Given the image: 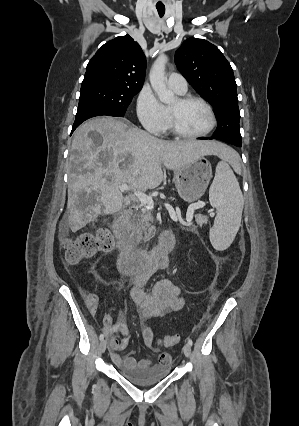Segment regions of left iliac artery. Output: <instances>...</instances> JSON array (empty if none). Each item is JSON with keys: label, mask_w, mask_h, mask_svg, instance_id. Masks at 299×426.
Listing matches in <instances>:
<instances>
[{"label": "left iliac artery", "mask_w": 299, "mask_h": 426, "mask_svg": "<svg viewBox=\"0 0 299 426\" xmlns=\"http://www.w3.org/2000/svg\"><path fill=\"white\" fill-rule=\"evenodd\" d=\"M187 342H188V344H189L190 346H192V344H193L192 339L188 338V339H187Z\"/></svg>", "instance_id": "1"}]
</instances>
